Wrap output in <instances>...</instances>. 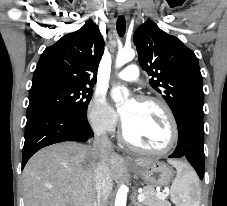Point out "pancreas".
<instances>
[{"label": "pancreas", "instance_id": "pancreas-1", "mask_svg": "<svg viewBox=\"0 0 227 206\" xmlns=\"http://www.w3.org/2000/svg\"><path fill=\"white\" fill-rule=\"evenodd\" d=\"M145 199L142 202L145 206H170V204L164 199L157 197V193L152 186H145L142 189Z\"/></svg>", "mask_w": 227, "mask_h": 206}]
</instances>
